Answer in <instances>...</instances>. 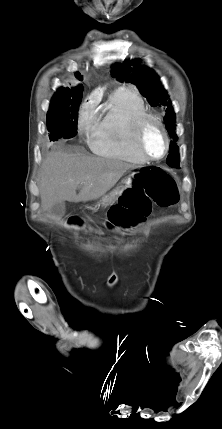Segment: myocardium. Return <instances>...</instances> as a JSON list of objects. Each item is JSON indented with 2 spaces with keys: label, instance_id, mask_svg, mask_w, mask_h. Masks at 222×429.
<instances>
[{
  "label": "myocardium",
  "instance_id": "myocardium-1",
  "mask_svg": "<svg viewBox=\"0 0 222 429\" xmlns=\"http://www.w3.org/2000/svg\"><path fill=\"white\" fill-rule=\"evenodd\" d=\"M148 121H154L158 125V127L160 128V130L164 136L166 145H165V150L160 157H153V156L149 155L143 147L142 134H143L144 127ZM133 139H134V145H135L137 151L147 161H159V160L164 159L165 156L168 154L169 149H170V137H169V134H168L163 122L161 121V119L157 115H155L153 113L146 112V111L141 113L140 115H138L135 119Z\"/></svg>",
  "mask_w": 222,
  "mask_h": 429
}]
</instances>
